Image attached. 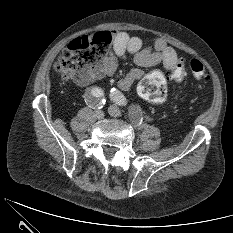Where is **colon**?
I'll use <instances>...</instances> for the list:
<instances>
[{
    "label": "colon",
    "mask_w": 233,
    "mask_h": 233,
    "mask_svg": "<svg viewBox=\"0 0 233 233\" xmlns=\"http://www.w3.org/2000/svg\"><path fill=\"white\" fill-rule=\"evenodd\" d=\"M111 44V35L107 32L92 37L84 36L72 40L65 47L54 65L56 71L67 80L86 82L101 71V62L105 58ZM190 71L195 79L208 83L210 73L198 59L189 63ZM186 75V62L179 58L169 71L170 78L181 81ZM139 95L145 100L160 104L166 98V78L164 73L154 70L142 78Z\"/></svg>",
    "instance_id": "5ec220e1"
}]
</instances>
